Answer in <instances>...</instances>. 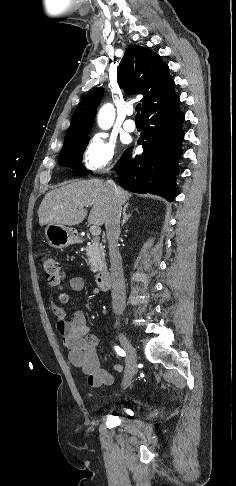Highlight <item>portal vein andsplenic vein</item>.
Segmentation results:
<instances>
[{
	"label": "portal vein and splenic vein",
	"instance_id": "obj_1",
	"mask_svg": "<svg viewBox=\"0 0 236 486\" xmlns=\"http://www.w3.org/2000/svg\"><path fill=\"white\" fill-rule=\"evenodd\" d=\"M90 232L93 236H99L101 233V228L98 225H92L90 227Z\"/></svg>",
	"mask_w": 236,
	"mask_h": 486
}]
</instances>
